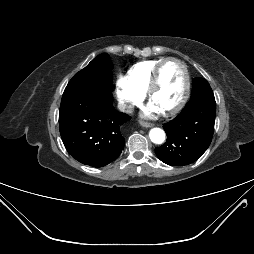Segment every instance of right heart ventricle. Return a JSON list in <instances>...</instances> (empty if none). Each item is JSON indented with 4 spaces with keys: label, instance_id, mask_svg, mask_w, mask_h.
<instances>
[{
    "label": "right heart ventricle",
    "instance_id": "right-heart-ventricle-1",
    "mask_svg": "<svg viewBox=\"0 0 254 254\" xmlns=\"http://www.w3.org/2000/svg\"><path fill=\"white\" fill-rule=\"evenodd\" d=\"M164 58L145 60L134 64L127 73L128 78L132 84L139 89L141 92L146 93L150 81L153 76V72L156 66Z\"/></svg>",
    "mask_w": 254,
    "mask_h": 254
}]
</instances>
